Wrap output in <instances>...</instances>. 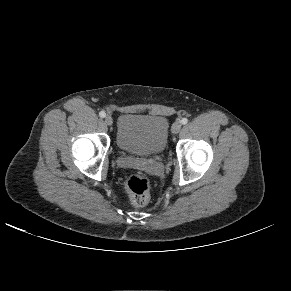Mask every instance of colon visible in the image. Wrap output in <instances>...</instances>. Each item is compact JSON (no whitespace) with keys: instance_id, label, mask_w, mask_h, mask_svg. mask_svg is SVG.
Masks as SVG:
<instances>
[{"instance_id":"colon-1","label":"colon","mask_w":291,"mask_h":291,"mask_svg":"<svg viewBox=\"0 0 291 291\" xmlns=\"http://www.w3.org/2000/svg\"><path fill=\"white\" fill-rule=\"evenodd\" d=\"M125 190L134 205L143 206L150 199V180L141 174H130L125 182Z\"/></svg>"}]
</instances>
